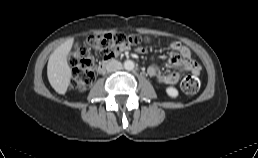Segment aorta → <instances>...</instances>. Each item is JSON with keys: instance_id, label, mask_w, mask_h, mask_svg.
Listing matches in <instances>:
<instances>
[{"instance_id": "762f6f07", "label": "aorta", "mask_w": 258, "mask_h": 158, "mask_svg": "<svg viewBox=\"0 0 258 158\" xmlns=\"http://www.w3.org/2000/svg\"><path fill=\"white\" fill-rule=\"evenodd\" d=\"M124 68H125L126 70H133V68H134V62L131 61V60L125 61V62H124Z\"/></svg>"}]
</instances>
